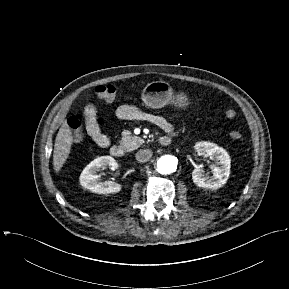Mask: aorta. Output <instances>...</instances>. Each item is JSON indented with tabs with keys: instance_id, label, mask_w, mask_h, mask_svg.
<instances>
[{
	"instance_id": "762f6f07",
	"label": "aorta",
	"mask_w": 289,
	"mask_h": 289,
	"mask_svg": "<svg viewBox=\"0 0 289 289\" xmlns=\"http://www.w3.org/2000/svg\"><path fill=\"white\" fill-rule=\"evenodd\" d=\"M178 158L173 155H163L157 161V170L160 174H171L177 170Z\"/></svg>"
}]
</instances>
